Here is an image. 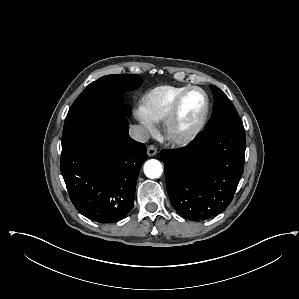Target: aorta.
Listing matches in <instances>:
<instances>
[{
    "mask_svg": "<svg viewBox=\"0 0 299 299\" xmlns=\"http://www.w3.org/2000/svg\"><path fill=\"white\" fill-rule=\"evenodd\" d=\"M162 172V165L156 159H150L144 164V173L148 178H159L162 175Z\"/></svg>",
    "mask_w": 299,
    "mask_h": 299,
    "instance_id": "aorta-1",
    "label": "aorta"
}]
</instances>
